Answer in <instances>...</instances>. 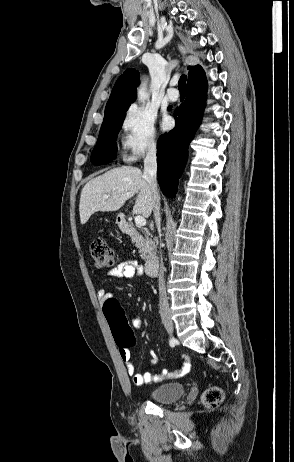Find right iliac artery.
Wrapping results in <instances>:
<instances>
[{"instance_id":"obj_1","label":"right iliac artery","mask_w":294,"mask_h":462,"mask_svg":"<svg viewBox=\"0 0 294 462\" xmlns=\"http://www.w3.org/2000/svg\"><path fill=\"white\" fill-rule=\"evenodd\" d=\"M176 345V340L174 338L170 339V346L174 347Z\"/></svg>"}]
</instances>
